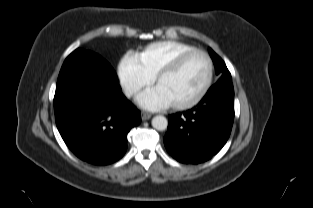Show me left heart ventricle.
Listing matches in <instances>:
<instances>
[{
	"label": "left heart ventricle",
	"instance_id": "obj_1",
	"mask_svg": "<svg viewBox=\"0 0 313 208\" xmlns=\"http://www.w3.org/2000/svg\"><path fill=\"white\" fill-rule=\"evenodd\" d=\"M208 74V63L198 54L190 57L179 70L164 77L156 87L171 105L187 102L201 91Z\"/></svg>",
	"mask_w": 313,
	"mask_h": 208
}]
</instances>
